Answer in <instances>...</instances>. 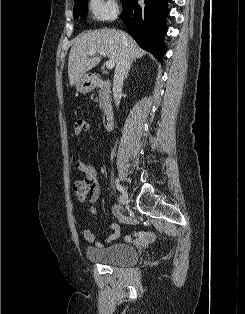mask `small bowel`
I'll list each match as a JSON object with an SVG mask.
<instances>
[{"label": "small bowel", "instance_id": "small-bowel-1", "mask_svg": "<svg viewBox=\"0 0 245 314\" xmlns=\"http://www.w3.org/2000/svg\"><path fill=\"white\" fill-rule=\"evenodd\" d=\"M88 128V124L85 120H78L74 125V133L75 135H79L82 133L83 130H86ZM77 169L85 175L86 179L90 181L91 184V194L89 198V202L91 204L90 206V212L95 215L96 209L94 207V203L98 200L100 195V186L97 182V176H98V170L96 166L89 165L84 163L83 161L79 160L77 162ZM113 214L117 218H121V213L119 211V206L115 205L113 207ZM109 228L112 230V234L104 239L97 242L99 246H102L106 243H109L115 239H117L120 235V227L119 225L115 223L109 224ZM83 237L88 242H94L95 241V233L91 229H85L83 231ZM155 239V235L152 232H137L133 234H128L125 237L126 242L128 243H134L136 245L144 246L151 242H153Z\"/></svg>", "mask_w": 245, "mask_h": 314}]
</instances>
